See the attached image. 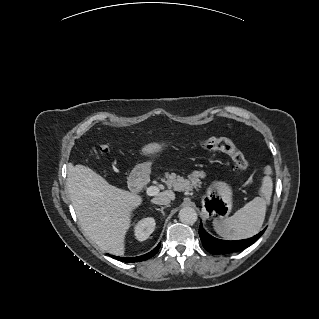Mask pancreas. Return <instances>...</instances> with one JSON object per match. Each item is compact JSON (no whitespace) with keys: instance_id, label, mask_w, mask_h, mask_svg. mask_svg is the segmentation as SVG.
Instances as JSON below:
<instances>
[{"instance_id":"obj_1","label":"pancreas","mask_w":319,"mask_h":319,"mask_svg":"<svg viewBox=\"0 0 319 319\" xmlns=\"http://www.w3.org/2000/svg\"><path fill=\"white\" fill-rule=\"evenodd\" d=\"M170 176H173V175H168V174H166V177L167 178H169ZM178 179H180V177H174V178H169L168 179V183H169V185L170 186H173V187H176V183L178 182ZM192 181H194V183H199V178H198V176H197V174H194V175H192V179H191Z\"/></svg>"}]
</instances>
